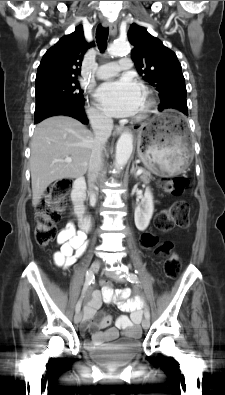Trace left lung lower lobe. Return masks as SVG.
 <instances>
[{"instance_id": "0a47b994", "label": "left lung lower lobe", "mask_w": 225, "mask_h": 395, "mask_svg": "<svg viewBox=\"0 0 225 395\" xmlns=\"http://www.w3.org/2000/svg\"><path fill=\"white\" fill-rule=\"evenodd\" d=\"M169 108L177 109V108H176L175 106H173V105H172L171 107H167V108H164V109H169ZM164 109H163V110H164ZM158 110H159V111H162V110H160L159 108H158ZM177 110H178V109H177ZM186 115H187V114H186Z\"/></svg>"}]
</instances>
